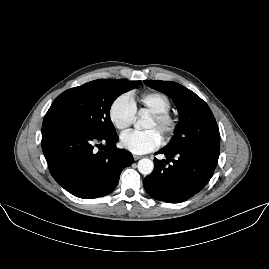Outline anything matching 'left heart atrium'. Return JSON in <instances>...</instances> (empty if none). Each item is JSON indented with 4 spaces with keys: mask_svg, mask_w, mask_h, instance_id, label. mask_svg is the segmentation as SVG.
<instances>
[{
    "mask_svg": "<svg viewBox=\"0 0 269 269\" xmlns=\"http://www.w3.org/2000/svg\"><path fill=\"white\" fill-rule=\"evenodd\" d=\"M163 140L155 130L147 132L130 131L120 137L121 146L135 154H145L159 148Z\"/></svg>",
    "mask_w": 269,
    "mask_h": 269,
    "instance_id": "left-heart-atrium-1",
    "label": "left heart atrium"
}]
</instances>
